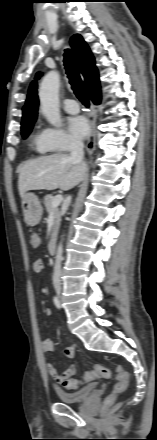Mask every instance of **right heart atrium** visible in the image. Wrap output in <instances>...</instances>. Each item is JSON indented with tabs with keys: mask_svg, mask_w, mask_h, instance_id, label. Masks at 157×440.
<instances>
[{
	"mask_svg": "<svg viewBox=\"0 0 157 440\" xmlns=\"http://www.w3.org/2000/svg\"><path fill=\"white\" fill-rule=\"evenodd\" d=\"M44 134L46 143L54 151H66L79 145L78 140L62 128H47Z\"/></svg>",
	"mask_w": 157,
	"mask_h": 440,
	"instance_id": "d8ad5b80",
	"label": "right heart atrium"
}]
</instances>
